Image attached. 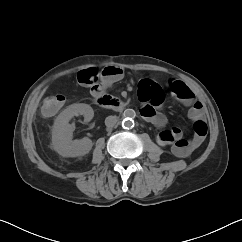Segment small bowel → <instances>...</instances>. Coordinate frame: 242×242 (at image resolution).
<instances>
[{
    "label": "small bowel",
    "instance_id": "small-bowel-1",
    "mask_svg": "<svg viewBox=\"0 0 242 242\" xmlns=\"http://www.w3.org/2000/svg\"><path fill=\"white\" fill-rule=\"evenodd\" d=\"M123 76V68L119 66L105 67L102 70L100 81L95 87H92L93 94L103 93L115 82L119 81ZM176 83H179L184 87L186 91L184 96L179 97L175 93L173 85ZM169 88L173 97L179 98L186 106L190 107L188 115L193 121V126L198 123L206 126L203 105L199 100L196 99L192 90L184 82L177 79H171L169 81ZM139 99L143 103L140 113L147 121L151 122L158 129L157 141L160 145H173L174 153L177 156L186 157L202 144L206 134L201 135L199 132L193 130V136L191 139L184 138L180 129L176 127H167L166 117L158 112L157 108L155 107L159 104H154L151 100L144 98L140 92Z\"/></svg>",
    "mask_w": 242,
    "mask_h": 242
}]
</instances>
